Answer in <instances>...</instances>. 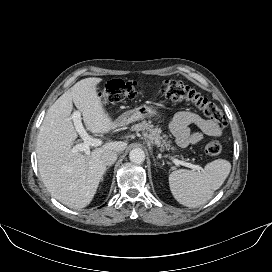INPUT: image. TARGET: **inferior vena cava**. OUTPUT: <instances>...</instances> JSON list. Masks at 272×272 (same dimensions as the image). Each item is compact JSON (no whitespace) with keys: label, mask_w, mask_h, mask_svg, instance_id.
<instances>
[{"label":"inferior vena cava","mask_w":272,"mask_h":272,"mask_svg":"<svg viewBox=\"0 0 272 272\" xmlns=\"http://www.w3.org/2000/svg\"><path fill=\"white\" fill-rule=\"evenodd\" d=\"M101 160L105 165L111 166L117 160V152L106 150L102 153Z\"/></svg>","instance_id":"1"}]
</instances>
